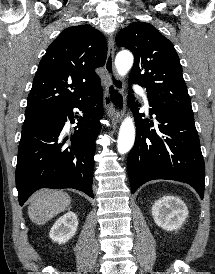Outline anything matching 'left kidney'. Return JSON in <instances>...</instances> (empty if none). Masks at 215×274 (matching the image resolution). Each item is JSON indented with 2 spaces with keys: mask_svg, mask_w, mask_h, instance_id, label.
Segmentation results:
<instances>
[{
  "mask_svg": "<svg viewBox=\"0 0 215 274\" xmlns=\"http://www.w3.org/2000/svg\"><path fill=\"white\" fill-rule=\"evenodd\" d=\"M188 214L185 203L175 196H164L152 206L155 223L167 231L180 229Z\"/></svg>",
  "mask_w": 215,
  "mask_h": 274,
  "instance_id": "obj_1",
  "label": "left kidney"
}]
</instances>
